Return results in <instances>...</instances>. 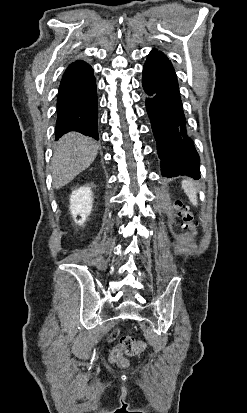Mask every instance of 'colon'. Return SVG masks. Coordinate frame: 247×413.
<instances>
[{"label":"colon","instance_id":"5ec220e1","mask_svg":"<svg viewBox=\"0 0 247 413\" xmlns=\"http://www.w3.org/2000/svg\"><path fill=\"white\" fill-rule=\"evenodd\" d=\"M174 207L182 217L183 222L189 227L194 228L195 222L186 206L182 202L176 201L174 202ZM113 349L110 353V360L120 367H123L125 364L124 355H146L147 353V348L142 341L129 336L121 337L120 342L113 344Z\"/></svg>","mask_w":247,"mask_h":413}]
</instances>
